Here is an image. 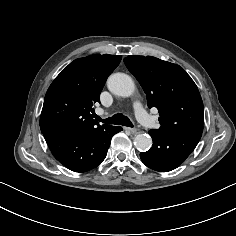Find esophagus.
Returning <instances> with one entry per match:
<instances>
[{
  "label": "esophagus",
  "instance_id": "34e87169",
  "mask_svg": "<svg viewBox=\"0 0 236 236\" xmlns=\"http://www.w3.org/2000/svg\"><path fill=\"white\" fill-rule=\"evenodd\" d=\"M127 131H129V133H131V134H135V133H137V129L136 128H129V127H126L125 128Z\"/></svg>",
  "mask_w": 236,
  "mask_h": 236
}]
</instances>
